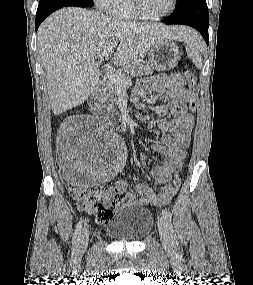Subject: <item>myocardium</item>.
I'll return each mask as SVG.
<instances>
[{"instance_id":"myocardium-1","label":"myocardium","mask_w":253,"mask_h":285,"mask_svg":"<svg viewBox=\"0 0 253 285\" xmlns=\"http://www.w3.org/2000/svg\"><path fill=\"white\" fill-rule=\"evenodd\" d=\"M177 3H178V0H172V5L168 11L162 14H159V15H149V14H146L142 10L140 0H131L132 8L134 12L136 13L137 17L140 19H144V20H159V19L169 16L175 11L177 7Z\"/></svg>"}]
</instances>
